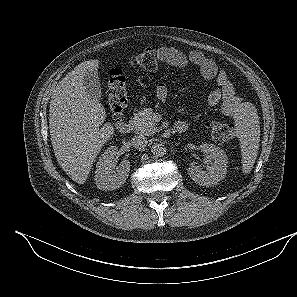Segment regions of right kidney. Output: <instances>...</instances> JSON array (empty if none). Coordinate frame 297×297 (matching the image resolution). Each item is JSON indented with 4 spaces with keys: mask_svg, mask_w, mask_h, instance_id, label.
I'll return each mask as SVG.
<instances>
[{
    "mask_svg": "<svg viewBox=\"0 0 297 297\" xmlns=\"http://www.w3.org/2000/svg\"><path fill=\"white\" fill-rule=\"evenodd\" d=\"M118 149L116 146L107 148L99 158L96 165V185L103 191H111L125 183L130 171V162L123 160L116 167L114 159Z\"/></svg>",
    "mask_w": 297,
    "mask_h": 297,
    "instance_id": "right-kidney-1",
    "label": "right kidney"
}]
</instances>
